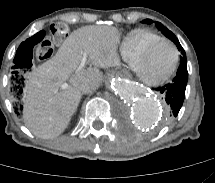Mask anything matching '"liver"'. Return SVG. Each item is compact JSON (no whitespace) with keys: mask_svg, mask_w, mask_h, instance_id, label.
Returning <instances> with one entry per match:
<instances>
[{"mask_svg":"<svg viewBox=\"0 0 215 183\" xmlns=\"http://www.w3.org/2000/svg\"><path fill=\"white\" fill-rule=\"evenodd\" d=\"M120 34L114 27L84 26L72 32L54 57L38 66L29 75L24 89L23 118L25 126L37 137L59 136L68 127L76 112L84 81L101 80L97 67L117 63L116 48ZM87 54L88 63L95 67L76 71ZM67 83V88L62 85Z\"/></svg>","mask_w":215,"mask_h":183,"instance_id":"1","label":"liver"}]
</instances>
